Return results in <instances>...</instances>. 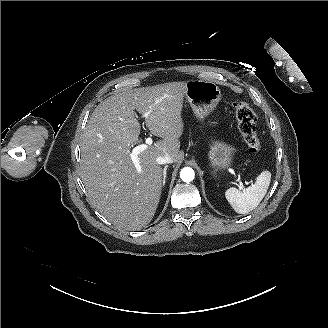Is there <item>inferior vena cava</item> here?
<instances>
[{
    "instance_id": "1",
    "label": "inferior vena cava",
    "mask_w": 328,
    "mask_h": 328,
    "mask_svg": "<svg viewBox=\"0 0 328 328\" xmlns=\"http://www.w3.org/2000/svg\"><path fill=\"white\" fill-rule=\"evenodd\" d=\"M157 163L158 164H170V163H172V158L168 154L158 156ZM164 173L166 174V171H164Z\"/></svg>"
}]
</instances>
